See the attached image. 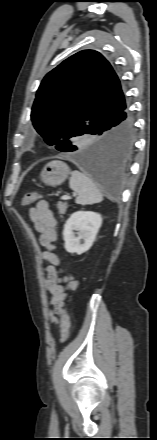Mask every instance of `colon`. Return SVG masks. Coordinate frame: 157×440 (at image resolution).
I'll list each match as a JSON object with an SVG mask.
<instances>
[{
	"label": "colon",
	"instance_id": "obj_1",
	"mask_svg": "<svg viewBox=\"0 0 157 440\" xmlns=\"http://www.w3.org/2000/svg\"><path fill=\"white\" fill-rule=\"evenodd\" d=\"M39 198L40 195L36 192L27 193L24 195L22 203L23 205H29ZM57 310L61 316V342L64 343L70 335V320L64 302L57 307Z\"/></svg>",
	"mask_w": 157,
	"mask_h": 440
}]
</instances>
